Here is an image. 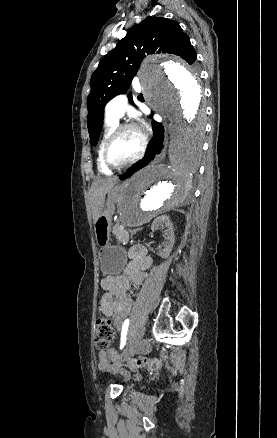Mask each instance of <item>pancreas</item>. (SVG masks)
I'll return each mask as SVG.
<instances>
[{
	"mask_svg": "<svg viewBox=\"0 0 277 438\" xmlns=\"http://www.w3.org/2000/svg\"><path fill=\"white\" fill-rule=\"evenodd\" d=\"M115 235H116V237L126 238L127 232H126L125 228H116Z\"/></svg>",
	"mask_w": 277,
	"mask_h": 438,
	"instance_id": "obj_1",
	"label": "pancreas"
}]
</instances>
